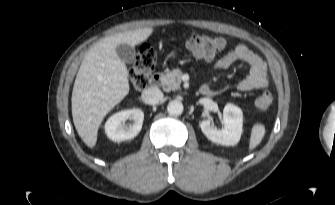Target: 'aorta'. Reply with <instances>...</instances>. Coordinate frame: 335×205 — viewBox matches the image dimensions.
<instances>
[{"label":"aorta","instance_id":"1","mask_svg":"<svg viewBox=\"0 0 335 205\" xmlns=\"http://www.w3.org/2000/svg\"><path fill=\"white\" fill-rule=\"evenodd\" d=\"M183 104L182 102L178 101V100H172L168 103L167 105V111L170 115H181L183 112Z\"/></svg>","mask_w":335,"mask_h":205}]
</instances>
